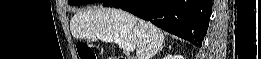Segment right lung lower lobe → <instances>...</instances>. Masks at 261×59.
I'll return each mask as SVG.
<instances>
[{"label":"right lung lower lobe","mask_w":261,"mask_h":59,"mask_svg":"<svg viewBox=\"0 0 261 59\" xmlns=\"http://www.w3.org/2000/svg\"><path fill=\"white\" fill-rule=\"evenodd\" d=\"M103 6L131 12L201 47L209 26L212 0H105Z\"/></svg>","instance_id":"obj_1"}]
</instances>
